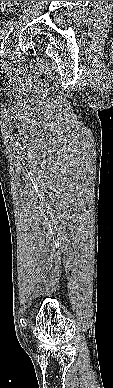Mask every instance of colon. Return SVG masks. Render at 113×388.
<instances>
[{"label":"colon","instance_id":"colon-1","mask_svg":"<svg viewBox=\"0 0 113 388\" xmlns=\"http://www.w3.org/2000/svg\"><path fill=\"white\" fill-rule=\"evenodd\" d=\"M16 1H0V12H7L15 5Z\"/></svg>","mask_w":113,"mask_h":388}]
</instances>
